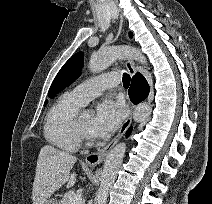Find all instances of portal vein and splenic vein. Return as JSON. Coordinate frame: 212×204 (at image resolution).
<instances>
[{
    "label": "portal vein and splenic vein",
    "mask_w": 212,
    "mask_h": 204,
    "mask_svg": "<svg viewBox=\"0 0 212 204\" xmlns=\"http://www.w3.org/2000/svg\"><path fill=\"white\" fill-rule=\"evenodd\" d=\"M82 203L83 199L81 195H75L69 201V204H82Z\"/></svg>",
    "instance_id": "18ae733b"
}]
</instances>
